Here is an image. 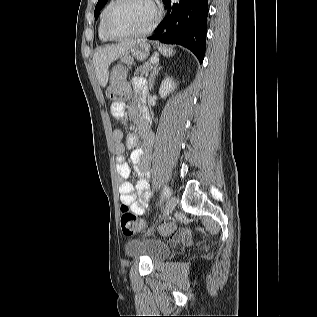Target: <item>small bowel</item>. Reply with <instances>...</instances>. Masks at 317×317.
I'll return each instance as SVG.
<instances>
[{
    "label": "small bowel",
    "instance_id": "obj_1",
    "mask_svg": "<svg viewBox=\"0 0 317 317\" xmlns=\"http://www.w3.org/2000/svg\"><path fill=\"white\" fill-rule=\"evenodd\" d=\"M132 87L135 96L130 106L126 107L122 103H113L111 112L115 119L124 121L126 117L138 124L140 134L143 138L142 148H137L138 136L129 134L124 138L121 129H115L112 133L113 149L116 154V169L118 175L124 180L119 186V196L122 204L129 206L136 215H143L146 211L148 201L151 196L149 187V166L150 151L152 148L153 136L149 130L150 118L148 113L141 107V101L147 92V83L143 77L136 76L132 79ZM130 149V159L134 165V170L139 176L135 185L126 181L131 174V167L126 162L124 151ZM188 232L181 230L173 233V238L184 239Z\"/></svg>",
    "mask_w": 317,
    "mask_h": 317
}]
</instances>
